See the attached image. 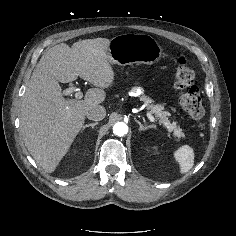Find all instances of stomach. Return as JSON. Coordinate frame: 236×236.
Segmentation results:
<instances>
[{
    "instance_id": "obj_1",
    "label": "stomach",
    "mask_w": 236,
    "mask_h": 236,
    "mask_svg": "<svg viewBox=\"0 0 236 236\" xmlns=\"http://www.w3.org/2000/svg\"><path fill=\"white\" fill-rule=\"evenodd\" d=\"M107 54L109 62L121 66L132 64L152 65L160 61L163 49L150 35L126 33L110 40Z\"/></svg>"
}]
</instances>
